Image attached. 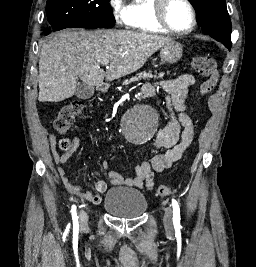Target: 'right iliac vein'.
<instances>
[{
    "mask_svg": "<svg viewBox=\"0 0 256 267\" xmlns=\"http://www.w3.org/2000/svg\"><path fill=\"white\" fill-rule=\"evenodd\" d=\"M88 223V215L85 211H81L80 214V226L81 227H86Z\"/></svg>",
    "mask_w": 256,
    "mask_h": 267,
    "instance_id": "right-iliac-vein-1",
    "label": "right iliac vein"
}]
</instances>
